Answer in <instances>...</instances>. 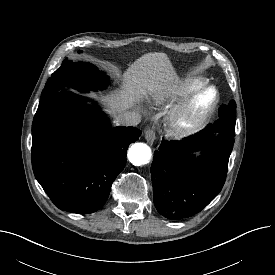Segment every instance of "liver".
<instances>
[{
    "label": "liver",
    "mask_w": 275,
    "mask_h": 275,
    "mask_svg": "<svg viewBox=\"0 0 275 275\" xmlns=\"http://www.w3.org/2000/svg\"><path fill=\"white\" fill-rule=\"evenodd\" d=\"M175 77L174 67L165 53H147L124 72L122 90L107 95L91 93V96L103 101L108 112L114 117V123H117L118 116L131 108L144 90L156 91L160 83Z\"/></svg>",
    "instance_id": "liver-1"
}]
</instances>
